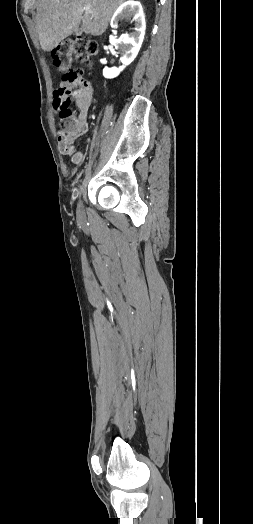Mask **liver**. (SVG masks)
I'll return each mask as SVG.
<instances>
[{
    "mask_svg": "<svg viewBox=\"0 0 253 524\" xmlns=\"http://www.w3.org/2000/svg\"><path fill=\"white\" fill-rule=\"evenodd\" d=\"M125 0H39L36 27L40 45L50 52L63 39L75 32L82 22L81 31L87 35L103 34L116 9ZM91 6L96 15L85 13Z\"/></svg>",
    "mask_w": 253,
    "mask_h": 524,
    "instance_id": "liver-1",
    "label": "liver"
}]
</instances>
